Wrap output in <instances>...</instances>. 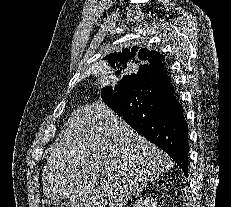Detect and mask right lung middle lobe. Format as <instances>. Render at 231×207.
I'll list each match as a JSON object with an SVG mask.
<instances>
[{"instance_id":"1","label":"right lung middle lobe","mask_w":231,"mask_h":207,"mask_svg":"<svg viewBox=\"0 0 231 207\" xmlns=\"http://www.w3.org/2000/svg\"><path fill=\"white\" fill-rule=\"evenodd\" d=\"M112 87H105L102 91L106 90V89H111Z\"/></svg>"}]
</instances>
